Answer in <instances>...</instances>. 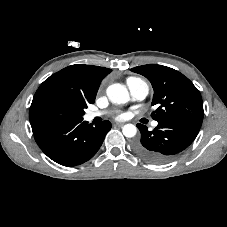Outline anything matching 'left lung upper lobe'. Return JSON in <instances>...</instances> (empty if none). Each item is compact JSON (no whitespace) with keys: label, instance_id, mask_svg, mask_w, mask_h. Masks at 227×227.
Returning <instances> with one entry per match:
<instances>
[{"label":"left lung upper lobe","instance_id":"1","mask_svg":"<svg viewBox=\"0 0 227 227\" xmlns=\"http://www.w3.org/2000/svg\"><path fill=\"white\" fill-rule=\"evenodd\" d=\"M131 71L145 76L152 84V105H157L151 116L159 122L179 121L201 127L203 102L199 90L180 72L157 64L134 67Z\"/></svg>","mask_w":227,"mask_h":227}]
</instances>
